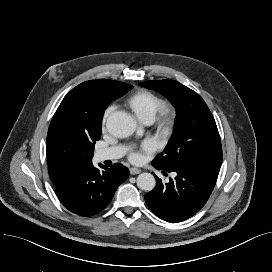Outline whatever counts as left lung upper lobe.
Here are the masks:
<instances>
[{
	"label": "left lung upper lobe",
	"mask_w": 272,
	"mask_h": 272,
	"mask_svg": "<svg viewBox=\"0 0 272 272\" xmlns=\"http://www.w3.org/2000/svg\"><path fill=\"white\" fill-rule=\"evenodd\" d=\"M142 86L166 96L177 111L174 133L164 153L153 163L162 168L222 164V147L215 120L204 100L171 79L145 81Z\"/></svg>",
	"instance_id": "obj_1"
}]
</instances>
